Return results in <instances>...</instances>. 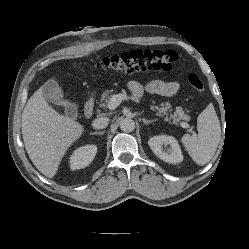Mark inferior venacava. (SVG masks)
<instances>
[{
  "label": "inferior vena cava",
  "mask_w": 249,
  "mask_h": 249,
  "mask_svg": "<svg viewBox=\"0 0 249 249\" xmlns=\"http://www.w3.org/2000/svg\"><path fill=\"white\" fill-rule=\"evenodd\" d=\"M109 123L108 117H98L92 122V127L94 129H104Z\"/></svg>",
  "instance_id": "obj_1"
}]
</instances>
